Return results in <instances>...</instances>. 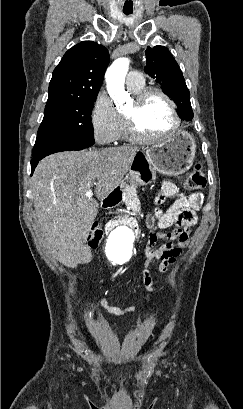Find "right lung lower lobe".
Returning <instances> with one entry per match:
<instances>
[{
    "label": "right lung lower lobe",
    "mask_w": 243,
    "mask_h": 409,
    "mask_svg": "<svg viewBox=\"0 0 243 409\" xmlns=\"http://www.w3.org/2000/svg\"><path fill=\"white\" fill-rule=\"evenodd\" d=\"M94 144L93 137L80 136L73 138H57L48 136H37L34 148L33 159L31 160V175L38 162L45 156L61 151L82 150Z\"/></svg>",
    "instance_id": "98d812e1"
}]
</instances>
